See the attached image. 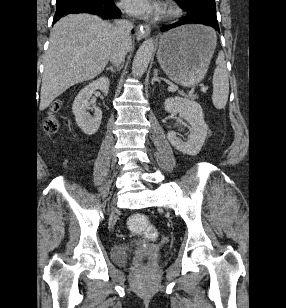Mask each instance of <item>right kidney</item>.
<instances>
[{
	"label": "right kidney",
	"mask_w": 286,
	"mask_h": 308,
	"mask_svg": "<svg viewBox=\"0 0 286 308\" xmlns=\"http://www.w3.org/2000/svg\"><path fill=\"white\" fill-rule=\"evenodd\" d=\"M96 90H101L105 95H107L109 91V79L107 77H101L86 85L77 94L72 105L75 121L86 135L95 134L98 131L102 120V111L90 103L92 94ZM92 108L94 109L93 116L87 112Z\"/></svg>",
	"instance_id": "1"
}]
</instances>
